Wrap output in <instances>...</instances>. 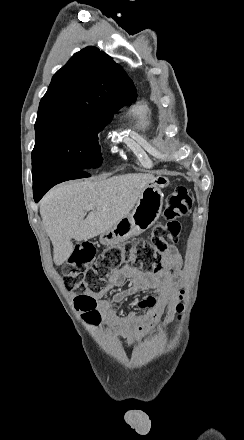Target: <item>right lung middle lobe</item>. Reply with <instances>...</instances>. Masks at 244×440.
<instances>
[{
    "label": "right lung middle lobe",
    "mask_w": 244,
    "mask_h": 440,
    "mask_svg": "<svg viewBox=\"0 0 244 440\" xmlns=\"http://www.w3.org/2000/svg\"><path fill=\"white\" fill-rule=\"evenodd\" d=\"M112 113L81 103H40L33 169L55 164L82 170L98 168L103 161L98 133L112 120Z\"/></svg>",
    "instance_id": "dd1d6c3e"
}]
</instances>
